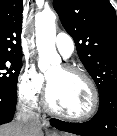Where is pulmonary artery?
I'll list each match as a JSON object with an SVG mask.
<instances>
[{"instance_id":"pulmonary-artery-1","label":"pulmonary artery","mask_w":117,"mask_h":136,"mask_svg":"<svg viewBox=\"0 0 117 136\" xmlns=\"http://www.w3.org/2000/svg\"><path fill=\"white\" fill-rule=\"evenodd\" d=\"M56 48L64 58H69L74 52V41L66 33H59L56 37Z\"/></svg>"}]
</instances>
